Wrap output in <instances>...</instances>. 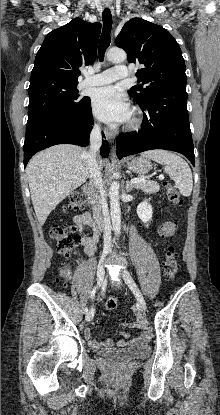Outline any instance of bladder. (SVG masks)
Masks as SVG:
<instances>
[{
  "label": "bladder",
  "mask_w": 220,
  "mask_h": 415,
  "mask_svg": "<svg viewBox=\"0 0 220 415\" xmlns=\"http://www.w3.org/2000/svg\"><path fill=\"white\" fill-rule=\"evenodd\" d=\"M150 352V347L143 345L137 347H131L126 349H110L100 350L99 355L112 362L126 363L136 359L146 357Z\"/></svg>",
  "instance_id": "31cf9c89"
}]
</instances>
